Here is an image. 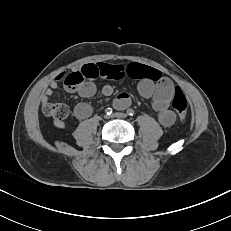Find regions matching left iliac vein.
<instances>
[{"instance_id": "left-iliac-vein-1", "label": "left iliac vein", "mask_w": 231, "mask_h": 231, "mask_svg": "<svg viewBox=\"0 0 231 231\" xmlns=\"http://www.w3.org/2000/svg\"><path fill=\"white\" fill-rule=\"evenodd\" d=\"M113 117L125 119L127 115L125 113L116 112L113 114Z\"/></svg>"}]
</instances>
